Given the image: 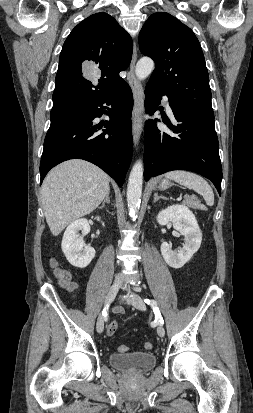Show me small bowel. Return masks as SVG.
<instances>
[{
  "label": "small bowel",
  "mask_w": 253,
  "mask_h": 413,
  "mask_svg": "<svg viewBox=\"0 0 253 413\" xmlns=\"http://www.w3.org/2000/svg\"><path fill=\"white\" fill-rule=\"evenodd\" d=\"M65 288L69 291L72 292L73 294H77L80 290V286L78 283L71 281L68 285L65 286ZM117 313H122L123 309L121 307H117L115 309Z\"/></svg>",
  "instance_id": "small-bowel-1"
}]
</instances>
